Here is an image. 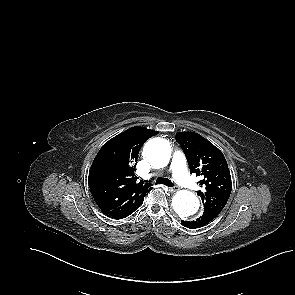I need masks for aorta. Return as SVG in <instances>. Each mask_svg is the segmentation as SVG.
<instances>
[{"label": "aorta", "instance_id": "1", "mask_svg": "<svg viewBox=\"0 0 295 295\" xmlns=\"http://www.w3.org/2000/svg\"><path fill=\"white\" fill-rule=\"evenodd\" d=\"M144 155L152 166L163 168L170 161V145L165 139L153 138L146 143ZM199 207V199L191 191L180 190L172 199V208L182 219H195L198 216Z\"/></svg>", "mask_w": 295, "mask_h": 295}]
</instances>
